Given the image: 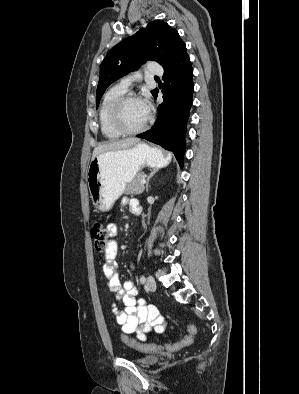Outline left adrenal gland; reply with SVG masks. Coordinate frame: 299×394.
Instances as JSON below:
<instances>
[{
	"label": "left adrenal gland",
	"mask_w": 299,
	"mask_h": 394,
	"mask_svg": "<svg viewBox=\"0 0 299 394\" xmlns=\"http://www.w3.org/2000/svg\"><path fill=\"white\" fill-rule=\"evenodd\" d=\"M158 172V169H154V170H152L150 173H149V175H148V177H147V182H146V191L148 192V187H149V181H150V179L153 177V175L155 174V173H157Z\"/></svg>",
	"instance_id": "1"
}]
</instances>
